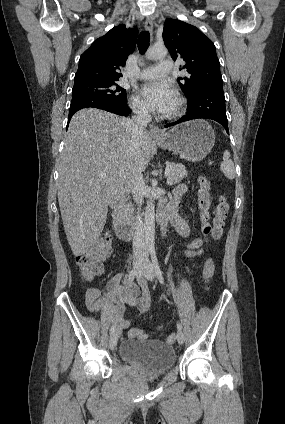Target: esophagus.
Segmentation results:
<instances>
[{"instance_id":"obj_1","label":"esophagus","mask_w":285,"mask_h":424,"mask_svg":"<svg viewBox=\"0 0 285 424\" xmlns=\"http://www.w3.org/2000/svg\"><path fill=\"white\" fill-rule=\"evenodd\" d=\"M145 29L152 35L153 33V22L150 18H147L144 23ZM150 135L153 137H162L163 131L158 126H151Z\"/></svg>"}]
</instances>
